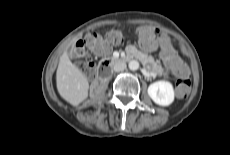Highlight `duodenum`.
Listing matches in <instances>:
<instances>
[{
  "instance_id": "duodenum-1",
  "label": "duodenum",
  "mask_w": 230,
  "mask_h": 155,
  "mask_svg": "<svg viewBox=\"0 0 230 155\" xmlns=\"http://www.w3.org/2000/svg\"><path fill=\"white\" fill-rule=\"evenodd\" d=\"M130 55H132V53H130ZM124 60L125 58H121V57H109L105 59L101 65L100 74L104 75L106 72H108L111 66Z\"/></svg>"
}]
</instances>
